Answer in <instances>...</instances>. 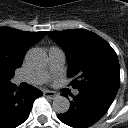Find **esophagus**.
<instances>
[{
  "label": "esophagus",
  "instance_id": "obj_1",
  "mask_svg": "<svg viewBox=\"0 0 128 128\" xmlns=\"http://www.w3.org/2000/svg\"><path fill=\"white\" fill-rule=\"evenodd\" d=\"M43 94H44L45 97H48V98H51V99H54L57 96V93L56 92L49 91V90H45L43 92Z\"/></svg>",
  "mask_w": 128,
  "mask_h": 128
}]
</instances>
